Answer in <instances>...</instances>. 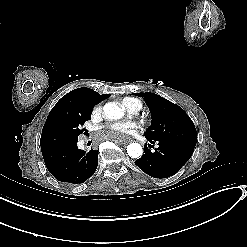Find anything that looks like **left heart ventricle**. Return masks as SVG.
<instances>
[{
	"label": "left heart ventricle",
	"instance_id": "1",
	"mask_svg": "<svg viewBox=\"0 0 247 247\" xmlns=\"http://www.w3.org/2000/svg\"><path fill=\"white\" fill-rule=\"evenodd\" d=\"M118 123H119L120 126L127 132V139H128L129 141H132L133 139H132V134H131V132H133V131L130 129L129 125H130V124H134V123L129 119L128 116L125 117L123 120L119 121Z\"/></svg>",
	"mask_w": 247,
	"mask_h": 247
}]
</instances>
